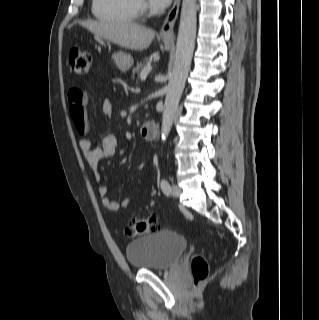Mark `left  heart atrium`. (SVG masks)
I'll use <instances>...</instances> for the list:
<instances>
[{"label": "left heart atrium", "instance_id": "left-heart-atrium-1", "mask_svg": "<svg viewBox=\"0 0 319 320\" xmlns=\"http://www.w3.org/2000/svg\"><path fill=\"white\" fill-rule=\"evenodd\" d=\"M150 2L155 7L165 8L170 4L171 0H150Z\"/></svg>", "mask_w": 319, "mask_h": 320}]
</instances>
